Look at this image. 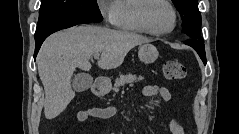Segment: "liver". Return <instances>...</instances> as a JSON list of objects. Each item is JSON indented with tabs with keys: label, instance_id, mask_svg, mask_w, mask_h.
<instances>
[{
	"label": "liver",
	"instance_id": "liver-1",
	"mask_svg": "<svg viewBox=\"0 0 239 134\" xmlns=\"http://www.w3.org/2000/svg\"><path fill=\"white\" fill-rule=\"evenodd\" d=\"M150 39L127 31L98 26H78L49 36L38 56V73L45 90L44 114L46 119L60 115L75 97L71 78L78 67L91 69L89 60L101 53L98 66L102 69L119 67L127 53Z\"/></svg>",
	"mask_w": 239,
	"mask_h": 134
}]
</instances>
